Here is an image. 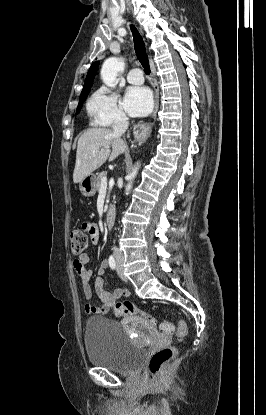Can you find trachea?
<instances>
[{
    "instance_id": "trachea-1",
    "label": "trachea",
    "mask_w": 266,
    "mask_h": 415,
    "mask_svg": "<svg viewBox=\"0 0 266 415\" xmlns=\"http://www.w3.org/2000/svg\"><path fill=\"white\" fill-rule=\"evenodd\" d=\"M130 27H131V31L133 34V40H134L135 52H136L137 58L139 62L141 63V65L143 66L145 72L149 74L150 73L149 60L146 54L145 43L143 41V38L141 37L140 33L133 25H131Z\"/></svg>"
}]
</instances>
